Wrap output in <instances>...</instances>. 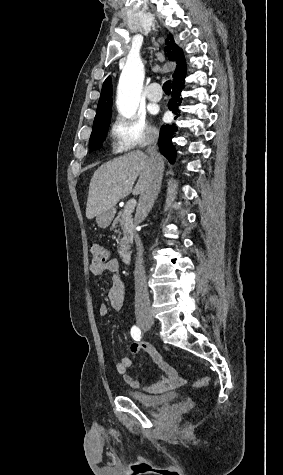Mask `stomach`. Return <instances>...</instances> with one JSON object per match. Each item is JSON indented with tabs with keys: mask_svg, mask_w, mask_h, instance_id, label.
<instances>
[{
	"mask_svg": "<svg viewBox=\"0 0 283 475\" xmlns=\"http://www.w3.org/2000/svg\"><path fill=\"white\" fill-rule=\"evenodd\" d=\"M115 214V208H111V210H105V212H102V214H98V216H96V224H98V228H108Z\"/></svg>",
	"mask_w": 283,
	"mask_h": 475,
	"instance_id": "0dacf381",
	"label": "stomach"
}]
</instances>
